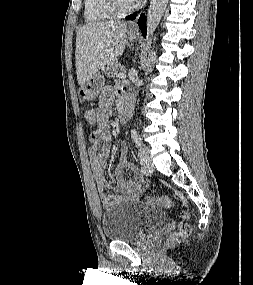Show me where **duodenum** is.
I'll return each mask as SVG.
<instances>
[{"label": "duodenum", "instance_id": "obj_1", "mask_svg": "<svg viewBox=\"0 0 253 285\" xmlns=\"http://www.w3.org/2000/svg\"><path fill=\"white\" fill-rule=\"evenodd\" d=\"M131 109H132V99L130 96H128L123 99L121 104L120 113H119V121L121 124L125 123L128 120L131 114Z\"/></svg>", "mask_w": 253, "mask_h": 285}]
</instances>
